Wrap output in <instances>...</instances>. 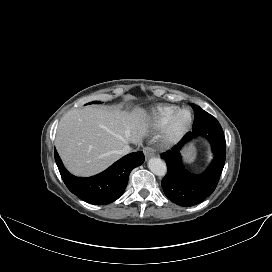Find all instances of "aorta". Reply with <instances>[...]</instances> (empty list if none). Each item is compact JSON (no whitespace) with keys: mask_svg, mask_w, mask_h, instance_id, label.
<instances>
[{"mask_svg":"<svg viewBox=\"0 0 272 272\" xmlns=\"http://www.w3.org/2000/svg\"><path fill=\"white\" fill-rule=\"evenodd\" d=\"M148 168L157 176H164L167 172L166 163L160 158H151L148 161Z\"/></svg>","mask_w":272,"mask_h":272,"instance_id":"762f6f07","label":"aorta"}]
</instances>
